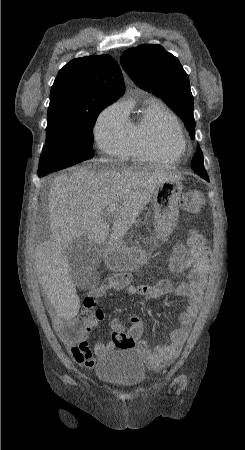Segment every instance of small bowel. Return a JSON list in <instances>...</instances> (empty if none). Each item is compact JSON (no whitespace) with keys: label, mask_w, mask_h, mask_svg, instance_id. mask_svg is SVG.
I'll list each match as a JSON object with an SVG mask.
<instances>
[{"label":"small bowel","mask_w":245,"mask_h":450,"mask_svg":"<svg viewBox=\"0 0 245 450\" xmlns=\"http://www.w3.org/2000/svg\"><path fill=\"white\" fill-rule=\"evenodd\" d=\"M186 266L192 267L188 274L187 282L182 284L173 283L169 277L181 273ZM210 271V257L207 260L201 259L197 253L190 249H186L183 243H177L172 250L169 266L166 269H161L155 273V285H133L128 283L124 286L113 287L110 289H123L128 296L144 297L148 303L153 302L164 295H179L188 299L185 310L178 315L179 327L170 332L169 341L167 343L157 344L151 348L148 339L143 337L134 345L135 351L148 368L157 370L162 365L172 363L179 355L190 332L192 322L197 316L202 304L203 290ZM55 283H57L59 287H64L70 293V284L66 280L55 281ZM100 291L103 292L104 290L101 288ZM87 306L91 307L90 304ZM51 317L58 337L63 341L73 359L79 364L92 366L96 356L105 355L114 348L121 347L118 342L114 340L113 335L109 341L105 343L98 342L93 348L87 342L88 336L85 338L86 345L70 340L62 333V331H60L59 325L64 321L74 319L75 314L64 315L53 312ZM123 329L124 327L119 321H113V332L122 331Z\"/></svg>","instance_id":"obj_1"}]
</instances>
